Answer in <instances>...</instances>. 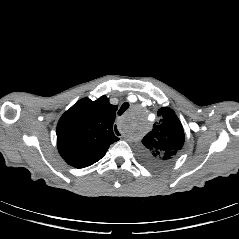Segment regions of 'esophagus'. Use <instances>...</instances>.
<instances>
[{
    "label": "esophagus",
    "mask_w": 239,
    "mask_h": 239,
    "mask_svg": "<svg viewBox=\"0 0 239 239\" xmlns=\"http://www.w3.org/2000/svg\"><path fill=\"white\" fill-rule=\"evenodd\" d=\"M121 133H122V129L119 127L118 124H115V125H114V134H115L116 136H120Z\"/></svg>",
    "instance_id": "obj_1"
}]
</instances>
